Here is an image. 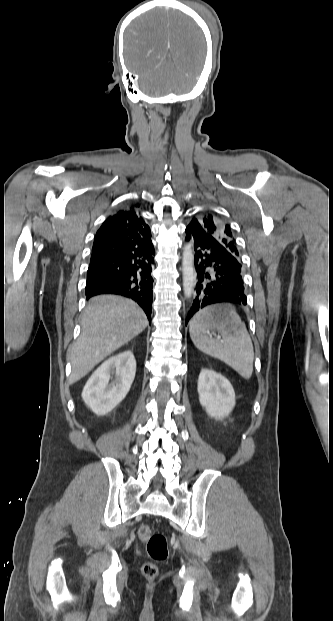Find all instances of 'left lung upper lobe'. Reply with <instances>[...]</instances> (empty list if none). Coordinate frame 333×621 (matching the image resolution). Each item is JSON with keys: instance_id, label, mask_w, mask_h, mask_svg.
<instances>
[{"instance_id": "left-lung-upper-lobe-1", "label": "left lung upper lobe", "mask_w": 333, "mask_h": 621, "mask_svg": "<svg viewBox=\"0 0 333 621\" xmlns=\"http://www.w3.org/2000/svg\"><path fill=\"white\" fill-rule=\"evenodd\" d=\"M192 227H199L214 236L226 249H228L241 263L236 239L230 226L224 219L216 215L206 214L199 218H193L189 224Z\"/></svg>"}]
</instances>
